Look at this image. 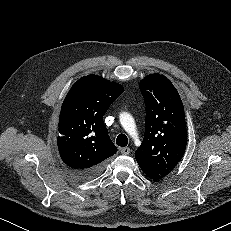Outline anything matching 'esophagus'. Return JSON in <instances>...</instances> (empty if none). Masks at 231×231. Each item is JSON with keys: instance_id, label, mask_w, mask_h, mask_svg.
Instances as JSON below:
<instances>
[{"instance_id": "1", "label": "esophagus", "mask_w": 231, "mask_h": 231, "mask_svg": "<svg viewBox=\"0 0 231 231\" xmlns=\"http://www.w3.org/2000/svg\"><path fill=\"white\" fill-rule=\"evenodd\" d=\"M121 153L123 155H128L130 153V149L128 147H124L121 149Z\"/></svg>"}]
</instances>
